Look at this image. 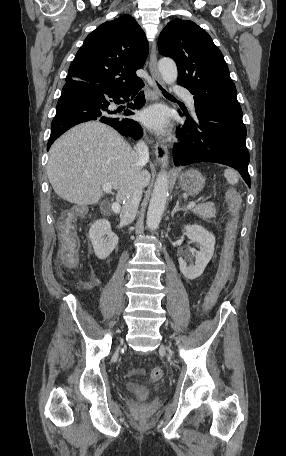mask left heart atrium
<instances>
[{
	"instance_id": "left-heart-atrium-1",
	"label": "left heart atrium",
	"mask_w": 286,
	"mask_h": 456,
	"mask_svg": "<svg viewBox=\"0 0 286 456\" xmlns=\"http://www.w3.org/2000/svg\"><path fill=\"white\" fill-rule=\"evenodd\" d=\"M141 121L155 131H163L168 122L166 111L160 106H153L143 111Z\"/></svg>"
}]
</instances>
